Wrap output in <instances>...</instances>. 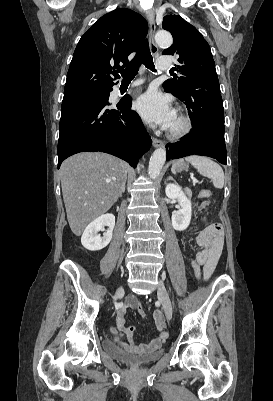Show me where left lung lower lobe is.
<instances>
[{
  "mask_svg": "<svg viewBox=\"0 0 273 401\" xmlns=\"http://www.w3.org/2000/svg\"><path fill=\"white\" fill-rule=\"evenodd\" d=\"M176 97L186 104L193 129L181 141L168 143L167 160L196 154L216 158L226 165L224 108L221 95L205 90H193Z\"/></svg>",
  "mask_w": 273,
  "mask_h": 401,
  "instance_id": "left-lung-lower-lobe-1",
  "label": "left lung lower lobe"
}]
</instances>
